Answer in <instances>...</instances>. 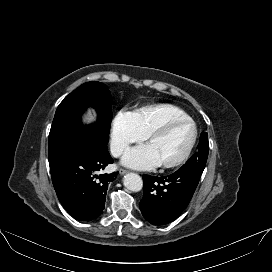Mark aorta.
Instances as JSON below:
<instances>
[{"instance_id": "obj_1", "label": "aorta", "mask_w": 272, "mask_h": 272, "mask_svg": "<svg viewBox=\"0 0 272 272\" xmlns=\"http://www.w3.org/2000/svg\"><path fill=\"white\" fill-rule=\"evenodd\" d=\"M124 186L133 192H138L143 187L142 178L136 173H128L123 179Z\"/></svg>"}]
</instances>
